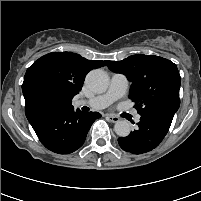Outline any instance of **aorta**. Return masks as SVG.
Segmentation results:
<instances>
[{
	"label": "aorta",
	"instance_id": "aorta-1",
	"mask_svg": "<svg viewBox=\"0 0 201 201\" xmlns=\"http://www.w3.org/2000/svg\"><path fill=\"white\" fill-rule=\"evenodd\" d=\"M86 84L90 90L95 93H103L109 85V78L106 72L100 69L92 70L86 77ZM115 133L120 137H126L130 134L131 126L128 121L120 120L114 125Z\"/></svg>",
	"mask_w": 201,
	"mask_h": 201
}]
</instances>
